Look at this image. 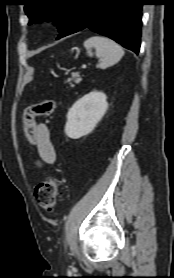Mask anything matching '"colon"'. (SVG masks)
Wrapping results in <instances>:
<instances>
[{"label":"colon","instance_id":"5ec220e1","mask_svg":"<svg viewBox=\"0 0 174 278\" xmlns=\"http://www.w3.org/2000/svg\"><path fill=\"white\" fill-rule=\"evenodd\" d=\"M55 109L53 100H43L41 102L28 106L23 113L24 130L27 142L37 147V133L35 118L40 116H49ZM35 198L38 204L47 211L55 209L59 195L58 185L53 179H48L39 183L35 187Z\"/></svg>","mask_w":174,"mask_h":278}]
</instances>
